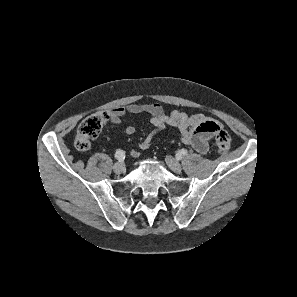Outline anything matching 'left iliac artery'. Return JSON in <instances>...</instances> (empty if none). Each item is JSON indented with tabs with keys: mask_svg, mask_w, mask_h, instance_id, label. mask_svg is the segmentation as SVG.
I'll return each instance as SVG.
<instances>
[{
	"mask_svg": "<svg viewBox=\"0 0 297 297\" xmlns=\"http://www.w3.org/2000/svg\"><path fill=\"white\" fill-rule=\"evenodd\" d=\"M187 153H188V151L186 149H181V150H179L178 155L179 156H186Z\"/></svg>",
	"mask_w": 297,
	"mask_h": 297,
	"instance_id": "left-iliac-artery-1",
	"label": "left iliac artery"
}]
</instances>
